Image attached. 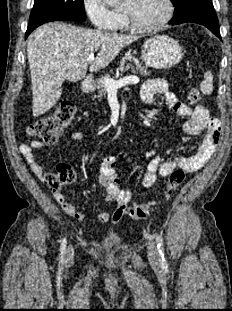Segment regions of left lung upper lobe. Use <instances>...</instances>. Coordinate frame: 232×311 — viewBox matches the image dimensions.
Instances as JSON below:
<instances>
[{
  "label": "left lung upper lobe",
  "mask_w": 232,
  "mask_h": 311,
  "mask_svg": "<svg viewBox=\"0 0 232 311\" xmlns=\"http://www.w3.org/2000/svg\"><path fill=\"white\" fill-rule=\"evenodd\" d=\"M189 1L190 0H171L173 5L175 6V11H177L181 7L185 6L187 4V2H189Z\"/></svg>",
  "instance_id": "left-lung-upper-lobe-1"
}]
</instances>
